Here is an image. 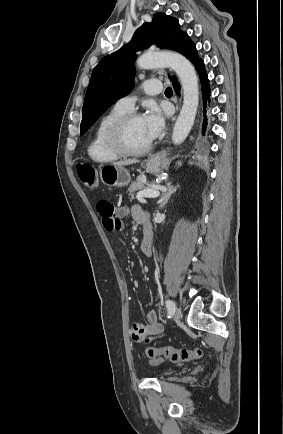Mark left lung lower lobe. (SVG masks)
Wrapping results in <instances>:
<instances>
[{"mask_svg":"<svg viewBox=\"0 0 283 434\" xmlns=\"http://www.w3.org/2000/svg\"><path fill=\"white\" fill-rule=\"evenodd\" d=\"M196 70L198 71V74L201 79V85H202V96H203V124H202V134L205 136L209 132V126H210V102H211V90L209 87V80L207 77V73L205 71L204 62L202 59L198 60L194 64ZM174 90L179 95L180 91V85L178 83L177 79H174L172 81Z\"/></svg>","mask_w":283,"mask_h":434,"instance_id":"obj_1","label":"left lung lower lobe"}]
</instances>
